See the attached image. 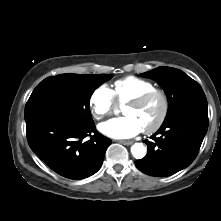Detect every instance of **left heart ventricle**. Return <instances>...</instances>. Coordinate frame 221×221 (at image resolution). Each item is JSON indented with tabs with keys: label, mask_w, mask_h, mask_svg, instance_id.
<instances>
[{
	"label": "left heart ventricle",
	"mask_w": 221,
	"mask_h": 221,
	"mask_svg": "<svg viewBox=\"0 0 221 221\" xmlns=\"http://www.w3.org/2000/svg\"><path fill=\"white\" fill-rule=\"evenodd\" d=\"M161 111L162 101L159 97H155L147 104L140 107L125 106L122 112L125 116L136 118L142 128L145 129L152 126L157 121Z\"/></svg>",
	"instance_id": "1"
}]
</instances>
